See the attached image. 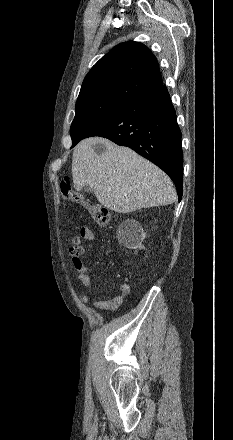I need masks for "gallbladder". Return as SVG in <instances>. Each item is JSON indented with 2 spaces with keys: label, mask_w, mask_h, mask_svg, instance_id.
I'll use <instances>...</instances> for the list:
<instances>
[{
  "label": "gallbladder",
  "mask_w": 233,
  "mask_h": 440,
  "mask_svg": "<svg viewBox=\"0 0 233 440\" xmlns=\"http://www.w3.org/2000/svg\"><path fill=\"white\" fill-rule=\"evenodd\" d=\"M84 191L87 193H91L92 189L90 187L86 186V187H84Z\"/></svg>",
  "instance_id": "1"
}]
</instances>
